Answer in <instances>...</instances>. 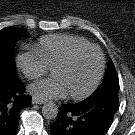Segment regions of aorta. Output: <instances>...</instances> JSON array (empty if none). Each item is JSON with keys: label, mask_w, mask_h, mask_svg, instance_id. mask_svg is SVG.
<instances>
[{"label": "aorta", "mask_w": 135, "mask_h": 135, "mask_svg": "<svg viewBox=\"0 0 135 135\" xmlns=\"http://www.w3.org/2000/svg\"><path fill=\"white\" fill-rule=\"evenodd\" d=\"M58 107L54 102H48L42 107V114L46 119H55L58 114Z\"/></svg>", "instance_id": "obj_1"}]
</instances>
